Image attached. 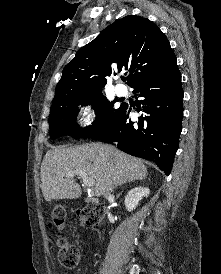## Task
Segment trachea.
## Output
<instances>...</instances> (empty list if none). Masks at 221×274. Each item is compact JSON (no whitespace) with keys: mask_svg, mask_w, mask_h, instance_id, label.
<instances>
[{"mask_svg":"<svg viewBox=\"0 0 221 274\" xmlns=\"http://www.w3.org/2000/svg\"><path fill=\"white\" fill-rule=\"evenodd\" d=\"M122 80H123V81H126V78H123Z\"/></svg>","mask_w":221,"mask_h":274,"instance_id":"trachea-1","label":"trachea"}]
</instances>
